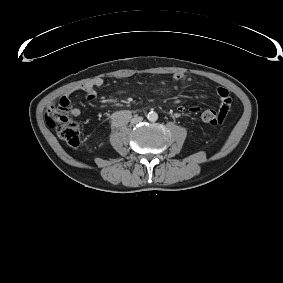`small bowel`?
<instances>
[{"mask_svg":"<svg viewBox=\"0 0 283 283\" xmlns=\"http://www.w3.org/2000/svg\"><path fill=\"white\" fill-rule=\"evenodd\" d=\"M187 79H188L187 75L182 73H175L172 75V80L174 82L185 83ZM101 85H103V79L96 78L79 85L78 87L73 89L69 93V95H72L75 92H82L85 94L87 99L93 100L96 98L97 88L100 87ZM217 95L221 101L220 109H226L228 111L231 105V99L228 90L223 87H220L217 89ZM200 111L201 108L195 105L190 107H184V106L178 107V112L181 114L185 112H189L191 114H198ZM71 114L73 117H79L81 115V111L79 108L75 107L71 109Z\"/></svg>","mask_w":283,"mask_h":283,"instance_id":"obj_1","label":"small bowel"}]
</instances>
